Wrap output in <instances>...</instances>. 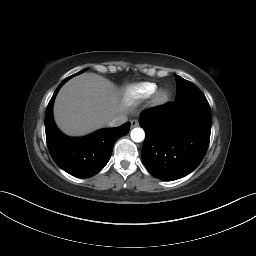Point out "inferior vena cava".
<instances>
[{"instance_id": "1", "label": "inferior vena cava", "mask_w": 256, "mask_h": 256, "mask_svg": "<svg viewBox=\"0 0 256 256\" xmlns=\"http://www.w3.org/2000/svg\"><path fill=\"white\" fill-rule=\"evenodd\" d=\"M126 121H127V116L125 114H120V115L114 117L112 120H110L107 125L109 127H117V126L122 125Z\"/></svg>"}]
</instances>
